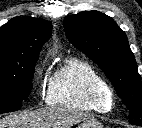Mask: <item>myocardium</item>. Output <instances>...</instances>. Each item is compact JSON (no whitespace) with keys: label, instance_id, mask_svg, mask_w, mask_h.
<instances>
[{"label":"myocardium","instance_id":"f54148a6","mask_svg":"<svg viewBox=\"0 0 142 128\" xmlns=\"http://www.w3.org/2000/svg\"><path fill=\"white\" fill-rule=\"evenodd\" d=\"M93 97L99 103H106L109 106V108H111L112 105H113V94H112V92L110 94H106V93L96 89L93 92Z\"/></svg>","mask_w":142,"mask_h":128}]
</instances>
